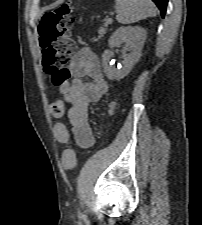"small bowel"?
I'll return each mask as SVG.
<instances>
[{
	"label": "small bowel",
	"mask_w": 202,
	"mask_h": 225,
	"mask_svg": "<svg viewBox=\"0 0 202 225\" xmlns=\"http://www.w3.org/2000/svg\"><path fill=\"white\" fill-rule=\"evenodd\" d=\"M69 77L58 88L64 99L70 104L67 116L71 125V134L82 148L94 144V135L89 123V106L97 102L108 91L100 61L88 47L79 49L73 56ZM53 133L62 143H69L70 133L59 122H55Z\"/></svg>",
	"instance_id": "c3829d8e"
}]
</instances>
